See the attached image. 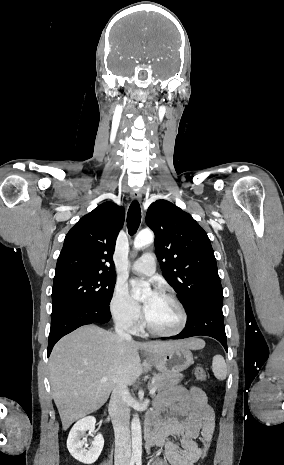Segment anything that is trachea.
<instances>
[{
	"instance_id": "3493384b",
	"label": "trachea",
	"mask_w": 284,
	"mask_h": 465,
	"mask_svg": "<svg viewBox=\"0 0 284 465\" xmlns=\"http://www.w3.org/2000/svg\"><path fill=\"white\" fill-rule=\"evenodd\" d=\"M141 223V208L138 201H133L127 214L128 233L132 236L136 233Z\"/></svg>"
}]
</instances>
